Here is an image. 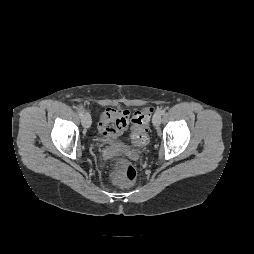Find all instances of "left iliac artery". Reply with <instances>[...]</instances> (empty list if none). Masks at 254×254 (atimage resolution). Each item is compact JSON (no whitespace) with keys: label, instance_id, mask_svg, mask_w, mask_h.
Listing matches in <instances>:
<instances>
[{"label":"left iliac artery","instance_id":"left-iliac-artery-1","mask_svg":"<svg viewBox=\"0 0 254 254\" xmlns=\"http://www.w3.org/2000/svg\"><path fill=\"white\" fill-rule=\"evenodd\" d=\"M165 112H166L165 109H162V110L160 111L161 115L165 114Z\"/></svg>","mask_w":254,"mask_h":254}]
</instances>
